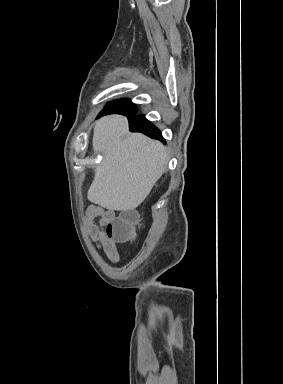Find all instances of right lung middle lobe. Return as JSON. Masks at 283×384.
<instances>
[{"label": "right lung middle lobe", "instance_id": "dd1d6c3e", "mask_svg": "<svg viewBox=\"0 0 283 384\" xmlns=\"http://www.w3.org/2000/svg\"><path fill=\"white\" fill-rule=\"evenodd\" d=\"M116 107H128V108H135V106L132 104V102L128 99H120L115 102H111L106 105L105 109H110V108H116Z\"/></svg>", "mask_w": 283, "mask_h": 384}]
</instances>
